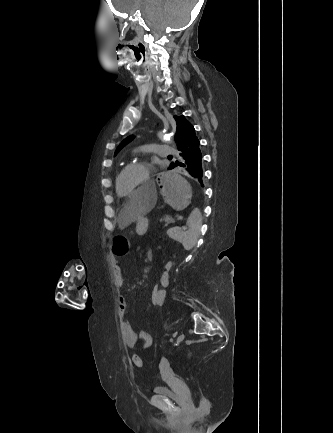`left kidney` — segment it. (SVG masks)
Returning a JSON list of instances; mask_svg holds the SVG:
<instances>
[{"instance_id":"left-kidney-1","label":"left kidney","mask_w":333,"mask_h":433,"mask_svg":"<svg viewBox=\"0 0 333 433\" xmlns=\"http://www.w3.org/2000/svg\"><path fill=\"white\" fill-rule=\"evenodd\" d=\"M174 230V228H171V229H169L168 231H167V233H169L170 231H173Z\"/></svg>"}]
</instances>
